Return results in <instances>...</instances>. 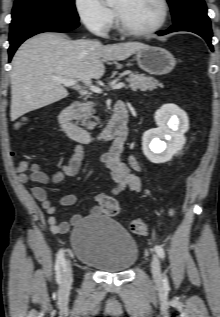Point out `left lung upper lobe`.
<instances>
[{"label": "left lung upper lobe", "instance_id": "1", "mask_svg": "<svg viewBox=\"0 0 220 317\" xmlns=\"http://www.w3.org/2000/svg\"><path fill=\"white\" fill-rule=\"evenodd\" d=\"M171 12L173 21L177 22L182 19L188 12L192 10L206 11V5L203 0H167Z\"/></svg>", "mask_w": 220, "mask_h": 317}]
</instances>
